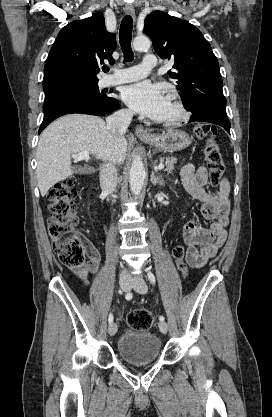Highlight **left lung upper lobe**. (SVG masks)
<instances>
[{
	"mask_svg": "<svg viewBox=\"0 0 272 417\" xmlns=\"http://www.w3.org/2000/svg\"><path fill=\"white\" fill-rule=\"evenodd\" d=\"M143 33L150 36L157 54L174 60L168 75L177 80L184 107L192 114L227 118L219 63L212 48L194 25L162 11L145 19Z\"/></svg>",
	"mask_w": 272,
	"mask_h": 417,
	"instance_id": "obj_1",
	"label": "left lung upper lobe"
}]
</instances>
